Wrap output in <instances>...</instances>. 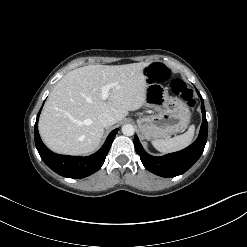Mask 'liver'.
I'll return each mask as SVG.
<instances>
[{
	"instance_id": "obj_1",
	"label": "liver",
	"mask_w": 247,
	"mask_h": 247,
	"mask_svg": "<svg viewBox=\"0 0 247 247\" xmlns=\"http://www.w3.org/2000/svg\"><path fill=\"white\" fill-rule=\"evenodd\" d=\"M146 66L145 62L88 65L67 73L50 93L40 116L39 132L47 147L68 155L94 152L104 134L100 114H111L117 123L145 104ZM111 83L116 86L110 89L108 101L103 100L101 87Z\"/></svg>"
}]
</instances>
